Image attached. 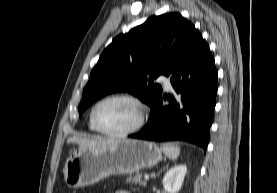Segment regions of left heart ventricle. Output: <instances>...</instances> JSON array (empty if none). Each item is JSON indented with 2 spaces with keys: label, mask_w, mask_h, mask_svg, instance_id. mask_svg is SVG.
<instances>
[{
  "label": "left heart ventricle",
  "mask_w": 277,
  "mask_h": 193,
  "mask_svg": "<svg viewBox=\"0 0 277 193\" xmlns=\"http://www.w3.org/2000/svg\"><path fill=\"white\" fill-rule=\"evenodd\" d=\"M95 119L102 129L119 132L131 128L137 123L139 108L127 100H110L97 108Z\"/></svg>",
  "instance_id": "b2bd125f"
}]
</instances>
